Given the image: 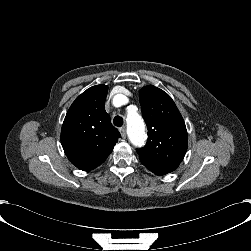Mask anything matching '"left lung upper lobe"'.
Masks as SVG:
<instances>
[{
  "label": "left lung upper lobe",
  "mask_w": 251,
  "mask_h": 251,
  "mask_svg": "<svg viewBox=\"0 0 251 251\" xmlns=\"http://www.w3.org/2000/svg\"><path fill=\"white\" fill-rule=\"evenodd\" d=\"M140 105L148 140L137 149L139 159L144 166L172 172L183 160L188 146L184 120L172 98L153 85L140 90Z\"/></svg>",
  "instance_id": "5c2ea615"
}]
</instances>
